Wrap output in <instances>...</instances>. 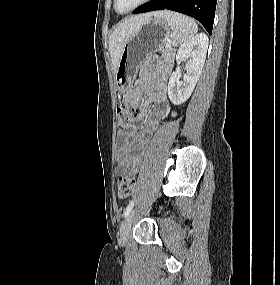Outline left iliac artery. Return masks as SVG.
<instances>
[{
  "instance_id": "obj_1",
  "label": "left iliac artery",
  "mask_w": 280,
  "mask_h": 285,
  "mask_svg": "<svg viewBox=\"0 0 280 285\" xmlns=\"http://www.w3.org/2000/svg\"><path fill=\"white\" fill-rule=\"evenodd\" d=\"M133 206H134V200H132V201L128 204V206L126 207V209L124 210V217H127V216H128V214H129L130 211L132 210Z\"/></svg>"
}]
</instances>
